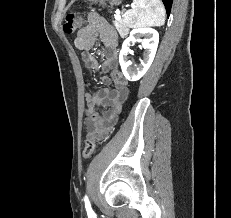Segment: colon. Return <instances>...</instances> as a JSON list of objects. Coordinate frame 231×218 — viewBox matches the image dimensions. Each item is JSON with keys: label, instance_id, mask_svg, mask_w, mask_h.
<instances>
[{"label": "colon", "instance_id": "1", "mask_svg": "<svg viewBox=\"0 0 231 218\" xmlns=\"http://www.w3.org/2000/svg\"><path fill=\"white\" fill-rule=\"evenodd\" d=\"M83 24V19L77 13H69L66 16L65 23H64V31L68 34H72L77 31ZM96 149V142L92 139L86 141L82 155L83 158L88 159L90 158Z\"/></svg>", "mask_w": 231, "mask_h": 218}]
</instances>
